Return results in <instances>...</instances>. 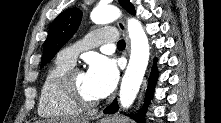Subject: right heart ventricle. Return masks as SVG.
I'll use <instances>...</instances> for the list:
<instances>
[{
  "mask_svg": "<svg viewBox=\"0 0 221 123\" xmlns=\"http://www.w3.org/2000/svg\"><path fill=\"white\" fill-rule=\"evenodd\" d=\"M72 66V64L57 57L47 69L41 85L38 103V113L41 117L63 120L81 114L82 110L68 100L61 89V79Z\"/></svg>",
  "mask_w": 221,
  "mask_h": 123,
  "instance_id": "e07e8e85",
  "label": "right heart ventricle"
}]
</instances>
